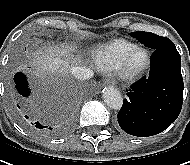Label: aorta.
Returning <instances> with one entry per match:
<instances>
[{
	"label": "aorta",
	"mask_w": 190,
	"mask_h": 165,
	"mask_svg": "<svg viewBox=\"0 0 190 165\" xmlns=\"http://www.w3.org/2000/svg\"><path fill=\"white\" fill-rule=\"evenodd\" d=\"M103 99L105 103L112 109L119 110L123 104V98L119 90L113 86L103 89Z\"/></svg>",
	"instance_id": "obj_1"
}]
</instances>
